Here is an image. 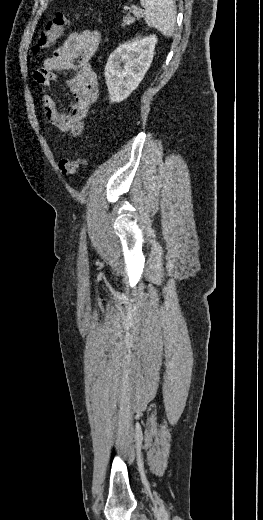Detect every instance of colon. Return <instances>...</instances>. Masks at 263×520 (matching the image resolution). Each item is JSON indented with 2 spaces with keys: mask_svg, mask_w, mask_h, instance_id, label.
<instances>
[{
  "mask_svg": "<svg viewBox=\"0 0 263 520\" xmlns=\"http://www.w3.org/2000/svg\"><path fill=\"white\" fill-rule=\"evenodd\" d=\"M72 15L65 12H58L39 33L34 45V52L39 53L49 49L56 39L62 34L70 23ZM85 165V160L81 157L73 159H62L58 163L60 172L63 175H74Z\"/></svg>",
  "mask_w": 263,
  "mask_h": 520,
  "instance_id": "obj_1",
  "label": "colon"
}]
</instances>
